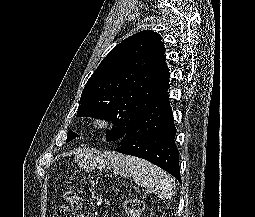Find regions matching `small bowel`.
Here are the masks:
<instances>
[{"mask_svg": "<svg viewBox=\"0 0 255 217\" xmlns=\"http://www.w3.org/2000/svg\"><path fill=\"white\" fill-rule=\"evenodd\" d=\"M78 217H85V215L84 214H80V215H78Z\"/></svg>", "mask_w": 255, "mask_h": 217, "instance_id": "c3829d8e", "label": "small bowel"}]
</instances>
